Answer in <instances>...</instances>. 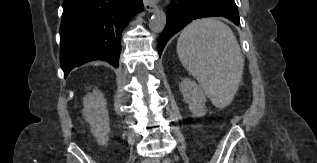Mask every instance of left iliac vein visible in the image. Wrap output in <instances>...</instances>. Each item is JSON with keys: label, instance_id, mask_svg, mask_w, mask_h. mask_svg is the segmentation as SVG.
Segmentation results:
<instances>
[{"label": "left iliac vein", "instance_id": "obj_1", "mask_svg": "<svg viewBox=\"0 0 317 163\" xmlns=\"http://www.w3.org/2000/svg\"><path fill=\"white\" fill-rule=\"evenodd\" d=\"M155 163H160V162H155ZM166 163H170V161H169V160H167V161H166Z\"/></svg>", "mask_w": 317, "mask_h": 163}]
</instances>
